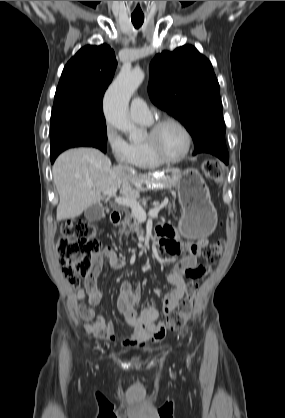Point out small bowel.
<instances>
[{"label": "small bowel", "mask_w": 285, "mask_h": 418, "mask_svg": "<svg viewBox=\"0 0 285 418\" xmlns=\"http://www.w3.org/2000/svg\"><path fill=\"white\" fill-rule=\"evenodd\" d=\"M156 236L159 247L168 254L177 256L184 248L187 249V254L175 263L173 271L167 276V281L173 286V290L165 296L161 309L145 307L138 313L136 307L141 299V289H133L128 281L121 284L116 306L125 324L132 329L122 343L126 348L144 345L149 341L154 343L163 341L165 333L157 330L158 317L160 314L168 315L173 312L185 298L187 294L185 277L200 278L210 269L208 266H200L196 263L204 240L183 246L174 239L170 229L163 227L157 228ZM106 262L113 269H122L126 266V260L117 256L113 248H103L93 259V271L85 286L74 287V297L78 302L79 316L86 321L85 331L96 338L113 341L116 335L121 333L118 323L115 320H106L96 313V307L102 300V293L96 286V277Z\"/></svg>", "instance_id": "small-bowel-1"}]
</instances>
